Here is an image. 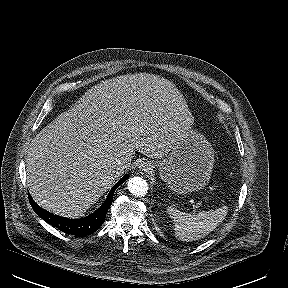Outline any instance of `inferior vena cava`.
Segmentation results:
<instances>
[{
	"label": "inferior vena cava",
	"mask_w": 288,
	"mask_h": 288,
	"mask_svg": "<svg viewBox=\"0 0 288 288\" xmlns=\"http://www.w3.org/2000/svg\"><path fill=\"white\" fill-rule=\"evenodd\" d=\"M127 168V164L124 161L117 160L112 165H110L109 174L115 175L123 172Z\"/></svg>",
	"instance_id": "602c4592"
}]
</instances>
